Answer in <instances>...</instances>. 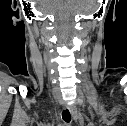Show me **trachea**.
Masks as SVG:
<instances>
[{"mask_svg":"<svg viewBox=\"0 0 127 126\" xmlns=\"http://www.w3.org/2000/svg\"><path fill=\"white\" fill-rule=\"evenodd\" d=\"M62 118L66 123H69L71 121V115L69 110L66 109L62 112Z\"/></svg>","mask_w":127,"mask_h":126,"instance_id":"1","label":"trachea"}]
</instances>
